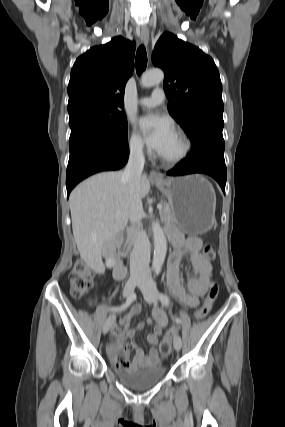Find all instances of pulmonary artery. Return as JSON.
Returning a JSON list of instances; mask_svg holds the SVG:
<instances>
[{
    "mask_svg": "<svg viewBox=\"0 0 285 427\" xmlns=\"http://www.w3.org/2000/svg\"><path fill=\"white\" fill-rule=\"evenodd\" d=\"M164 98V91L160 88H157L150 96L140 99L138 103L143 107L153 108L160 105L164 101Z\"/></svg>",
    "mask_w": 285,
    "mask_h": 427,
    "instance_id": "obj_1",
    "label": "pulmonary artery"
}]
</instances>
